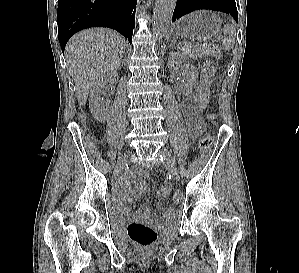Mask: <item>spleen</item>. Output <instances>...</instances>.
<instances>
[{
  "label": "spleen",
  "mask_w": 299,
  "mask_h": 273,
  "mask_svg": "<svg viewBox=\"0 0 299 273\" xmlns=\"http://www.w3.org/2000/svg\"><path fill=\"white\" fill-rule=\"evenodd\" d=\"M209 14V13H208ZM212 20H216L214 14L211 15ZM224 43L223 47L226 50L231 49L235 44L236 29L233 25H226L223 29Z\"/></svg>",
  "instance_id": "3e777b00"
}]
</instances>
